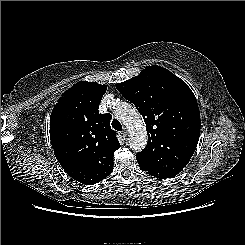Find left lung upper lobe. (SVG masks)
<instances>
[{
  "instance_id": "obj_1",
  "label": "left lung upper lobe",
  "mask_w": 245,
  "mask_h": 245,
  "mask_svg": "<svg viewBox=\"0 0 245 245\" xmlns=\"http://www.w3.org/2000/svg\"><path fill=\"white\" fill-rule=\"evenodd\" d=\"M116 87L146 124L147 146L136 154L140 168L160 179L177 175L191 159L200 136V112L191 89L154 65Z\"/></svg>"
}]
</instances>
